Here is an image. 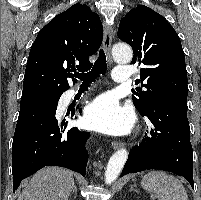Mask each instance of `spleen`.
I'll return each instance as SVG.
<instances>
[{
	"mask_svg": "<svg viewBox=\"0 0 201 200\" xmlns=\"http://www.w3.org/2000/svg\"><path fill=\"white\" fill-rule=\"evenodd\" d=\"M141 185L158 200H188L183 184L173 175L162 171L148 172Z\"/></svg>",
	"mask_w": 201,
	"mask_h": 200,
	"instance_id": "spleen-1",
	"label": "spleen"
}]
</instances>
